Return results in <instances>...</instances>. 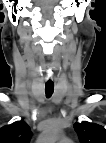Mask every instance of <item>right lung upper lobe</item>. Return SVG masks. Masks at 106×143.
<instances>
[{"label": "right lung upper lobe", "instance_id": "obj_1", "mask_svg": "<svg viewBox=\"0 0 106 143\" xmlns=\"http://www.w3.org/2000/svg\"><path fill=\"white\" fill-rule=\"evenodd\" d=\"M31 130L24 121H16L0 128V143H29Z\"/></svg>", "mask_w": 106, "mask_h": 143}]
</instances>
